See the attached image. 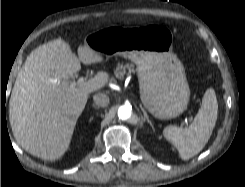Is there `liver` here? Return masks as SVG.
Listing matches in <instances>:
<instances>
[{
  "mask_svg": "<svg viewBox=\"0 0 245 187\" xmlns=\"http://www.w3.org/2000/svg\"><path fill=\"white\" fill-rule=\"evenodd\" d=\"M102 61L103 56L86 44L78 48L77 57L62 39L47 42L29 54L9 101L12 132L25 151L44 160H57L65 154L89 94L104 87L109 74L99 72L75 86H71L72 80L81 62Z\"/></svg>",
  "mask_w": 245,
  "mask_h": 187,
  "instance_id": "liver-1",
  "label": "liver"
}]
</instances>
